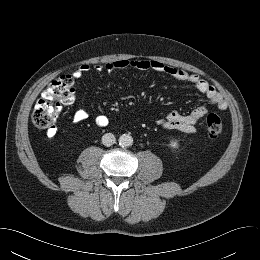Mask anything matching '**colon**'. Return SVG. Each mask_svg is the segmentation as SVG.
I'll return each instance as SVG.
<instances>
[{"mask_svg": "<svg viewBox=\"0 0 260 260\" xmlns=\"http://www.w3.org/2000/svg\"><path fill=\"white\" fill-rule=\"evenodd\" d=\"M75 99L74 80L70 75H62L52 81L44 90L32 114L34 125L50 133L56 132V120L60 107L70 104ZM207 132L211 136H219L223 131L221 118L214 113L205 120Z\"/></svg>", "mask_w": 260, "mask_h": 260, "instance_id": "1", "label": "colon"}]
</instances>
